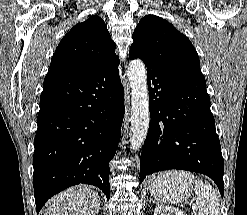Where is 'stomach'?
I'll list each match as a JSON object with an SVG mask.
<instances>
[{"mask_svg": "<svg viewBox=\"0 0 247 215\" xmlns=\"http://www.w3.org/2000/svg\"><path fill=\"white\" fill-rule=\"evenodd\" d=\"M193 190V175L184 171H169L154 178L150 194L156 200L180 203L187 200Z\"/></svg>", "mask_w": 247, "mask_h": 215, "instance_id": "0dacf381", "label": "stomach"}]
</instances>
